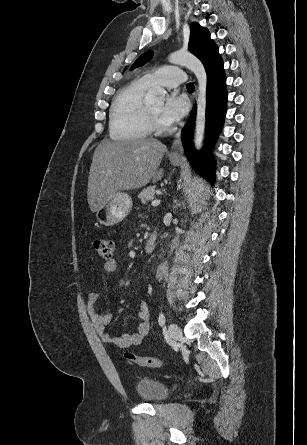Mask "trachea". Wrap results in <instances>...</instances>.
Here are the masks:
<instances>
[{
	"label": "trachea",
	"mask_w": 307,
	"mask_h": 445,
	"mask_svg": "<svg viewBox=\"0 0 307 445\" xmlns=\"http://www.w3.org/2000/svg\"><path fill=\"white\" fill-rule=\"evenodd\" d=\"M187 89H188V90H194V85H193V83H188V84H187Z\"/></svg>",
	"instance_id": "trachea-1"
}]
</instances>
